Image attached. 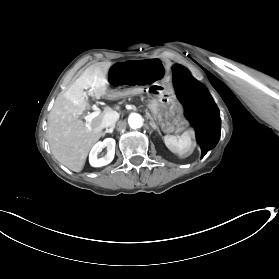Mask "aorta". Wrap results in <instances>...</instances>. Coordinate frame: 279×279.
Listing matches in <instances>:
<instances>
[{"instance_id":"aorta-1","label":"aorta","mask_w":279,"mask_h":279,"mask_svg":"<svg viewBox=\"0 0 279 279\" xmlns=\"http://www.w3.org/2000/svg\"><path fill=\"white\" fill-rule=\"evenodd\" d=\"M142 120L143 119L139 114L134 113V114L130 115V117L128 119V123L132 129H137L142 126Z\"/></svg>"}]
</instances>
